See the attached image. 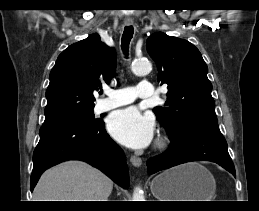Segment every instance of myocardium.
<instances>
[{
	"label": "myocardium",
	"instance_id": "1",
	"mask_svg": "<svg viewBox=\"0 0 259 211\" xmlns=\"http://www.w3.org/2000/svg\"><path fill=\"white\" fill-rule=\"evenodd\" d=\"M165 145V139L164 138H159L158 140H157V142H156V146L158 147V148H161V147H163Z\"/></svg>",
	"mask_w": 259,
	"mask_h": 211
}]
</instances>
